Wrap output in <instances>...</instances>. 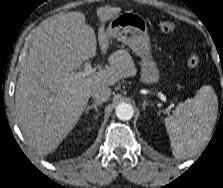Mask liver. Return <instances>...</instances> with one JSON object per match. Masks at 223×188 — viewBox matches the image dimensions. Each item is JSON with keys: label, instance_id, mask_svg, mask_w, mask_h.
Here are the masks:
<instances>
[{"label": "liver", "instance_id": "liver-1", "mask_svg": "<svg viewBox=\"0 0 223 188\" xmlns=\"http://www.w3.org/2000/svg\"><path fill=\"white\" fill-rule=\"evenodd\" d=\"M121 10L101 7L96 11L103 55L110 40L105 22ZM96 44L95 32L81 12L45 20L34 36L18 77L15 106L23 135L39 154H49L58 147L80 119L94 88L113 86L128 76L126 64L110 58L109 69L70 80L68 74L96 54Z\"/></svg>", "mask_w": 223, "mask_h": 188}]
</instances>
